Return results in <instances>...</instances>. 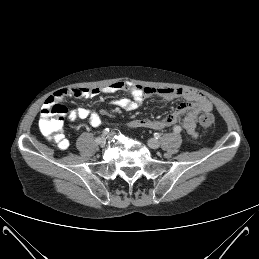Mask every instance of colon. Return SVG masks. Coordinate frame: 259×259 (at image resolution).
<instances>
[{"mask_svg":"<svg viewBox=\"0 0 259 259\" xmlns=\"http://www.w3.org/2000/svg\"><path fill=\"white\" fill-rule=\"evenodd\" d=\"M67 108L56 102L50 101L41 110L39 116V130L49 140L57 143L58 147L67 148L68 142L63 134V122ZM199 123L203 128H210L214 124V117L210 113H203L199 117Z\"/></svg>","mask_w":259,"mask_h":259,"instance_id":"obj_1","label":"colon"}]
</instances>
